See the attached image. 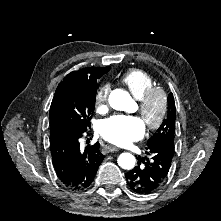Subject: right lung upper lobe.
Wrapping results in <instances>:
<instances>
[{"mask_svg": "<svg viewBox=\"0 0 221 221\" xmlns=\"http://www.w3.org/2000/svg\"><path fill=\"white\" fill-rule=\"evenodd\" d=\"M108 67H89L83 68L77 71H73L69 73L63 81L59 84H66V83H73V82H80L85 81L92 85L93 83L97 82V79L100 78L103 74L107 73ZM57 122V115L53 104L50 107V126L53 127Z\"/></svg>", "mask_w": 221, "mask_h": 221, "instance_id": "cb5924a9", "label": "right lung upper lobe"}]
</instances>
